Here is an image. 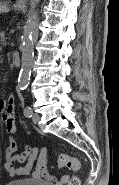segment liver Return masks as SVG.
I'll list each match as a JSON object with an SVG mask.
<instances>
[{"mask_svg":"<svg viewBox=\"0 0 119 185\" xmlns=\"http://www.w3.org/2000/svg\"><path fill=\"white\" fill-rule=\"evenodd\" d=\"M8 11L9 9L5 5L0 3V12H8Z\"/></svg>","mask_w":119,"mask_h":185,"instance_id":"liver-1","label":"liver"}]
</instances>
